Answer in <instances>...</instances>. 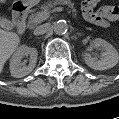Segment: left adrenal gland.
I'll return each instance as SVG.
<instances>
[{
	"mask_svg": "<svg viewBox=\"0 0 119 119\" xmlns=\"http://www.w3.org/2000/svg\"><path fill=\"white\" fill-rule=\"evenodd\" d=\"M78 36H81V33H77Z\"/></svg>",
	"mask_w": 119,
	"mask_h": 119,
	"instance_id": "1",
	"label": "left adrenal gland"
}]
</instances>
